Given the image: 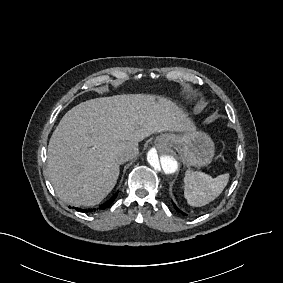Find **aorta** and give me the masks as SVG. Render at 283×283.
<instances>
[{
    "label": "aorta",
    "instance_id": "obj_1",
    "mask_svg": "<svg viewBox=\"0 0 283 283\" xmlns=\"http://www.w3.org/2000/svg\"><path fill=\"white\" fill-rule=\"evenodd\" d=\"M149 170L160 180L175 175L179 170L177 154L166 145H156L147 154Z\"/></svg>",
    "mask_w": 283,
    "mask_h": 283
}]
</instances>
